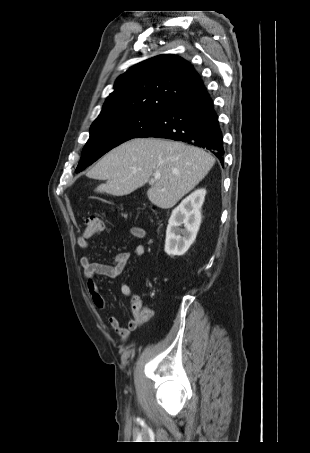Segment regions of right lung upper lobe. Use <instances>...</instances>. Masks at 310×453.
I'll return each instance as SVG.
<instances>
[{
	"label": "right lung upper lobe",
	"instance_id": "obj_1",
	"mask_svg": "<svg viewBox=\"0 0 310 453\" xmlns=\"http://www.w3.org/2000/svg\"><path fill=\"white\" fill-rule=\"evenodd\" d=\"M202 83L194 67L181 57L150 58L117 78L98 118L124 112H163Z\"/></svg>",
	"mask_w": 310,
	"mask_h": 453
}]
</instances>
